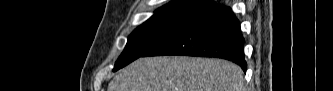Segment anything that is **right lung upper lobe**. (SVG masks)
I'll return each instance as SVG.
<instances>
[{"instance_id": "1", "label": "right lung upper lobe", "mask_w": 333, "mask_h": 91, "mask_svg": "<svg viewBox=\"0 0 333 91\" xmlns=\"http://www.w3.org/2000/svg\"><path fill=\"white\" fill-rule=\"evenodd\" d=\"M205 1L206 0H173L159 8L151 18L167 17L191 20L204 11L200 6Z\"/></svg>"}]
</instances>
